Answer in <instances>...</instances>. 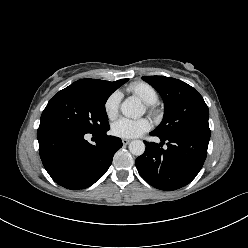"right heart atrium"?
<instances>
[{
    "mask_svg": "<svg viewBox=\"0 0 248 248\" xmlns=\"http://www.w3.org/2000/svg\"><path fill=\"white\" fill-rule=\"evenodd\" d=\"M120 98L121 96L119 92H113L105 100L104 112L109 119H114L117 116Z\"/></svg>",
    "mask_w": 248,
    "mask_h": 248,
    "instance_id": "1",
    "label": "right heart atrium"
}]
</instances>
